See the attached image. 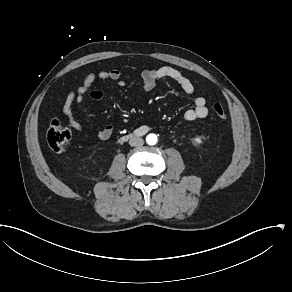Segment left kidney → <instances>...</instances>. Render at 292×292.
<instances>
[{
  "mask_svg": "<svg viewBox=\"0 0 292 292\" xmlns=\"http://www.w3.org/2000/svg\"><path fill=\"white\" fill-rule=\"evenodd\" d=\"M195 141L198 142V143H201V139L200 138H196Z\"/></svg>",
  "mask_w": 292,
  "mask_h": 292,
  "instance_id": "left-kidney-1",
  "label": "left kidney"
}]
</instances>
